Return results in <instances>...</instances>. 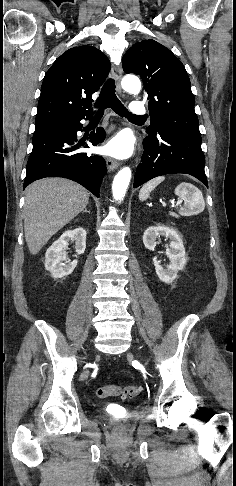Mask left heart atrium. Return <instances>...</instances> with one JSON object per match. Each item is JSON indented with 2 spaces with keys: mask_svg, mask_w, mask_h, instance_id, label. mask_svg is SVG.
<instances>
[{
  "mask_svg": "<svg viewBox=\"0 0 236 486\" xmlns=\"http://www.w3.org/2000/svg\"><path fill=\"white\" fill-rule=\"evenodd\" d=\"M103 152L115 158H127L133 152V142L128 135L121 133L103 147Z\"/></svg>",
  "mask_w": 236,
  "mask_h": 486,
  "instance_id": "obj_1",
  "label": "left heart atrium"
}]
</instances>
